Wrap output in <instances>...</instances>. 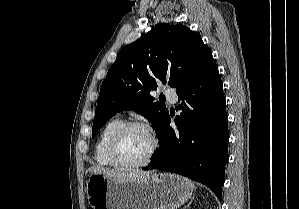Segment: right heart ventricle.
Here are the masks:
<instances>
[{
    "mask_svg": "<svg viewBox=\"0 0 299 209\" xmlns=\"http://www.w3.org/2000/svg\"><path fill=\"white\" fill-rule=\"evenodd\" d=\"M123 123L124 121L120 117L115 116L111 118L102 128L95 144V160L99 165L112 166L108 157L109 141L113 133Z\"/></svg>",
    "mask_w": 299,
    "mask_h": 209,
    "instance_id": "right-heart-ventricle-1",
    "label": "right heart ventricle"
}]
</instances>
